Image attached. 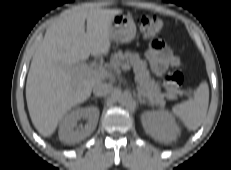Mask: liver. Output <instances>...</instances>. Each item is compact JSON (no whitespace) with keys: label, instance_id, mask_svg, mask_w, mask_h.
<instances>
[{"label":"liver","instance_id":"obj_1","mask_svg":"<svg viewBox=\"0 0 231 170\" xmlns=\"http://www.w3.org/2000/svg\"><path fill=\"white\" fill-rule=\"evenodd\" d=\"M121 13L120 9L76 6L47 29L31 61L26 82L30 118L42 136H51L65 113L85 102L94 85L101 81L76 67L90 54H108L110 24Z\"/></svg>","mask_w":231,"mask_h":170}]
</instances>
